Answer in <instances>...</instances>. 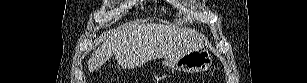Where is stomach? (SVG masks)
Listing matches in <instances>:
<instances>
[{
	"instance_id": "0dacf381",
	"label": "stomach",
	"mask_w": 307,
	"mask_h": 83,
	"mask_svg": "<svg viewBox=\"0 0 307 83\" xmlns=\"http://www.w3.org/2000/svg\"><path fill=\"white\" fill-rule=\"evenodd\" d=\"M162 64L179 72H202L210 68L212 56L207 49L197 46L181 52L174 58H165Z\"/></svg>"
}]
</instances>
